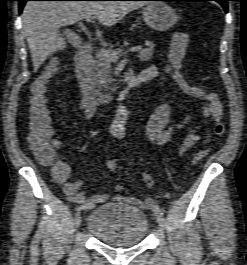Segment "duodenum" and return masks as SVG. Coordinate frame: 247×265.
<instances>
[{
  "label": "duodenum",
  "mask_w": 247,
  "mask_h": 265,
  "mask_svg": "<svg viewBox=\"0 0 247 265\" xmlns=\"http://www.w3.org/2000/svg\"><path fill=\"white\" fill-rule=\"evenodd\" d=\"M91 54L92 46L89 42H85L80 46L76 55L75 65L81 89L84 96L93 99L95 102L107 103L112 100V96L96 88L91 77ZM124 81L126 83V89L122 93H125L128 88L136 87L147 82L145 79H138L133 72H126Z\"/></svg>",
  "instance_id": "obj_1"
}]
</instances>
